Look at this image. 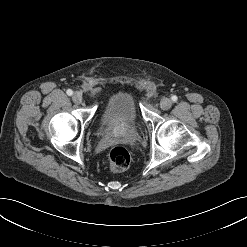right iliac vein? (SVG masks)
<instances>
[{"instance_id":"obj_1","label":"right iliac vein","mask_w":247,"mask_h":247,"mask_svg":"<svg viewBox=\"0 0 247 247\" xmlns=\"http://www.w3.org/2000/svg\"><path fill=\"white\" fill-rule=\"evenodd\" d=\"M82 94L80 92H75L72 96V100L76 104H80L82 102Z\"/></svg>"}]
</instances>
